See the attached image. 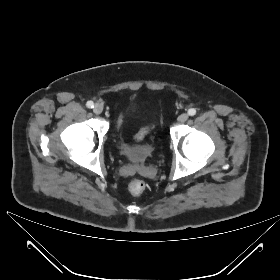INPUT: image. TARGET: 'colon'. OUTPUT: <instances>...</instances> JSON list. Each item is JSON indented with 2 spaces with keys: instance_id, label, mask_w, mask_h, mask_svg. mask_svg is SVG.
Instances as JSON below:
<instances>
[{
  "instance_id": "colon-1",
  "label": "colon",
  "mask_w": 280,
  "mask_h": 280,
  "mask_svg": "<svg viewBox=\"0 0 280 280\" xmlns=\"http://www.w3.org/2000/svg\"><path fill=\"white\" fill-rule=\"evenodd\" d=\"M148 131L149 130L147 128L141 129L136 134V138L137 139L142 138L144 135H146L148 133ZM145 189H146V184L143 180H140V179H133L128 184V190L134 196H139V195L143 194Z\"/></svg>"
}]
</instances>
